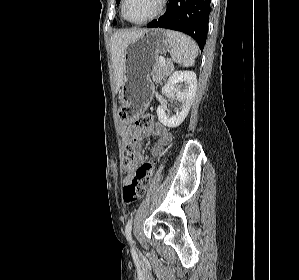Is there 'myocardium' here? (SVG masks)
Segmentation results:
<instances>
[{
    "label": "myocardium",
    "instance_id": "1",
    "mask_svg": "<svg viewBox=\"0 0 299 280\" xmlns=\"http://www.w3.org/2000/svg\"><path fill=\"white\" fill-rule=\"evenodd\" d=\"M167 1L168 0H159L157 9L150 16H148L147 18L142 19V20L134 21V20H130L126 15L127 0H122V5H121L122 16L127 22H130L132 24H136V25L146 24V23L156 19L163 12V10L166 7Z\"/></svg>",
    "mask_w": 299,
    "mask_h": 280
}]
</instances>
